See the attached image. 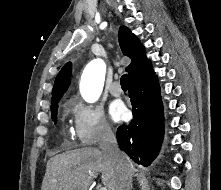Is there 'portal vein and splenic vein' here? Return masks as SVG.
I'll return each instance as SVG.
<instances>
[{
	"instance_id": "portal-vein-and-splenic-vein-1",
	"label": "portal vein and splenic vein",
	"mask_w": 221,
	"mask_h": 190,
	"mask_svg": "<svg viewBox=\"0 0 221 190\" xmlns=\"http://www.w3.org/2000/svg\"><path fill=\"white\" fill-rule=\"evenodd\" d=\"M89 175H93V172L89 171ZM100 190H107L106 187H101Z\"/></svg>"
}]
</instances>
